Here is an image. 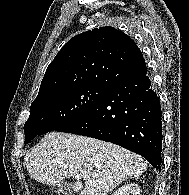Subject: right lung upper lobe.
<instances>
[{
  "label": "right lung upper lobe",
  "instance_id": "right-lung-upper-lobe-1",
  "mask_svg": "<svg viewBox=\"0 0 189 195\" xmlns=\"http://www.w3.org/2000/svg\"><path fill=\"white\" fill-rule=\"evenodd\" d=\"M146 70L140 49L128 35L100 27L74 36L63 46L49 64L37 97L74 87L111 90Z\"/></svg>",
  "mask_w": 189,
  "mask_h": 195
}]
</instances>
